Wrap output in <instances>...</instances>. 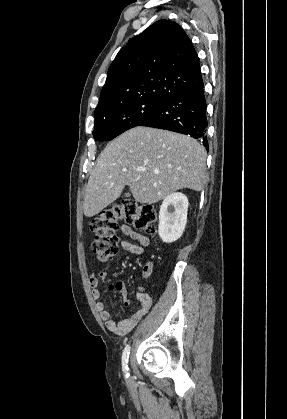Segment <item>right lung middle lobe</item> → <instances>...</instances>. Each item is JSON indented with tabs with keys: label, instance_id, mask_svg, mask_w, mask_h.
Returning <instances> with one entry per match:
<instances>
[{
	"label": "right lung middle lobe",
	"instance_id": "right-lung-middle-lobe-1",
	"mask_svg": "<svg viewBox=\"0 0 287 419\" xmlns=\"http://www.w3.org/2000/svg\"><path fill=\"white\" fill-rule=\"evenodd\" d=\"M164 100L140 99L95 114L93 137L108 141L123 132L139 126L160 108Z\"/></svg>",
	"mask_w": 287,
	"mask_h": 419
}]
</instances>
